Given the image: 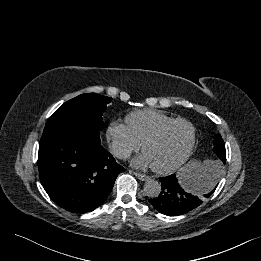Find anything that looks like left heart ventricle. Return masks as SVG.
<instances>
[{"mask_svg": "<svg viewBox=\"0 0 261 261\" xmlns=\"http://www.w3.org/2000/svg\"><path fill=\"white\" fill-rule=\"evenodd\" d=\"M191 139V129L185 123L170 126L163 135L145 148L152 166L166 167L179 160Z\"/></svg>", "mask_w": 261, "mask_h": 261, "instance_id": "b2bd125f", "label": "left heart ventricle"}]
</instances>
